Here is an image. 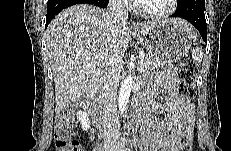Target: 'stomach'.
Segmentation results:
<instances>
[{"mask_svg":"<svg viewBox=\"0 0 231 151\" xmlns=\"http://www.w3.org/2000/svg\"><path fill=\"white\" fill-rule=\"evenodd\" d=\"M133 35L149 55L164 62L179 60L191 48L190 35L171 20L155 21L135 30Z\"/></svg>","mask_w":231,"mask_h":151,"instance_id":"1","label":"stomach"}]
</instances>
